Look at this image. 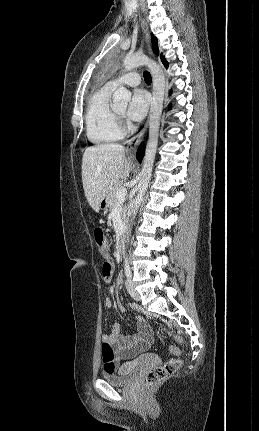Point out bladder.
<instances>
[{"label": "bladder", "instance_id": "bladder-1", "mask_svg": "<svg viewBox=\"0 0 259 431\" xmlns=\"http://www.w3.org/2000/svg\"><path fill=\"white\" fill-rule=\"evenodd\" d=\"M136 371V365L127 364L121 366L116 371H104L102 377L111 384H125L128 382Z\"/></svg>", "mask_w": 259, "mask_h": 431}]
</instances>
